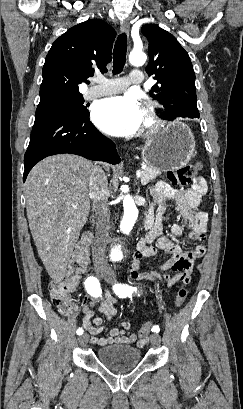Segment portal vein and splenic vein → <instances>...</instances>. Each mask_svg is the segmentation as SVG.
I'll use <instances>...</instances> for the list:
<instances>
[{"mask_svg": "<svg viewBox=\"0 0 243 409\" xmlns=\"http://www.w3.org/2000/svg\"><path fill=\"white\" fill-rule=\"evenodd\" d=\"M141 174H142V171H141V170H137V172H136L137 178H140V177H141Z\"/></svg>", "mask_w": 243, "mask_h": 409, "instance_id": "18ae733b", "label": "portal vein and splenic vein"}]
</instances>
